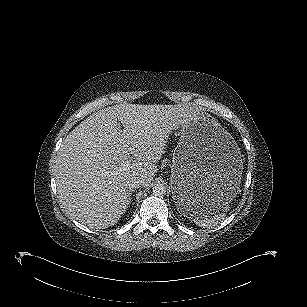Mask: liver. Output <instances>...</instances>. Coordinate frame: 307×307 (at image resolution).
<instances>
[{
    "label": "liver",
    "instance_id": "obj_1",
    "mask_svg": "<svg viewBox=\"0 0 307 307\" xmlns=\"http://www.w3.org/2000/svg\"><path fill=\"white\" fill-rule=\"evenodd\" d=\"M193 111L181 105L120 103L82 121L62 142L55 161L66 212L91 228L117 223L130 203L127 182L136 177L144 187L150 185L170 127L184 123ZM130 157L135 160L124 165Z\"/></svg>",
    "mask_w": 307,
    "mask_h": 307
}]
</instances>
